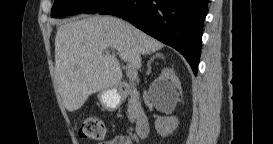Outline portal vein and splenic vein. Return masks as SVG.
Masks as SVG:
<instances>
[{
    "label": "portal vein and splenic vein",
    "instance_id": "1",
    "mask_svg": "<svg viewBox=\"0 0 273 144\" xmlns=\"http://www.w3.org/2000/svg\"><path fill=\"white\" fill-rule=\"evenodd\" d=\"M126 69L128 78L131 81H135L137 79V72L130 65H128Z\"/></svg>",
    "mask_w": 273,
    "mask_h": 144
}]
</instances>
